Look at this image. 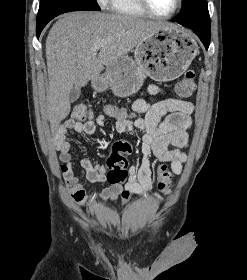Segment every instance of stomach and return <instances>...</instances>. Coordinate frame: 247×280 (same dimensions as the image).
Here are the masks:
<instances>
[{
  "label": "stomach",
  "instance_id": "obj_1",
  "mask_svg": "<svg viewBox=\"0 0 247 280\" xmlns=\"http://www.w3.org/2000/svg\"><path fill=\"white\" fill-rule=\"evenodd\" d=\"M197 53V43L188 31L161 29L136 46L134 59L123 56L109 64L103 76L92 80V86L97 91L111 89L116 96L128 97L141 88L146 76L159 82L178 78Z\"/></svg>",
  "mask_w": 247,
  "mask_h": 280
}]
</instances>
